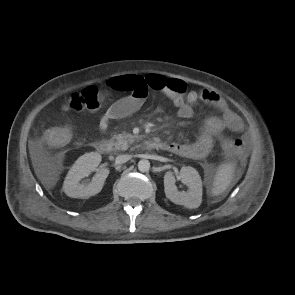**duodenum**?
Returning <instances> with one entry per match:
<instances>
[{
  "label": "duodenum",
  "instance_id": "410a0bca",
  "mask_svg": "<svg viewBox=\"0 0 295 295\" xmlns=\"http://www.w3.org/2000/svg\"><path fill=\"white\" fill-rule=\"evenodd\" d=\"M144 147L149 150L163 149V142L156 139H147L144 143ZM95 148L101 154H110L113 150V145L109 141L99 140L95 142Z\"/></svg>",
  "mask_w": 295,
  "mask_h": 295
}]
</instances>
